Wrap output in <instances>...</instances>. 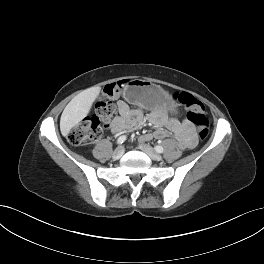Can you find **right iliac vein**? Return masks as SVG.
Listing matches in <instances>:
<instances>
[{"instance_id":"right-iliac-vein-1","label":"right iliac vein","mask_w":264,"mask_h":264,"mask_svg":"<svg viewBox=\"0 0 264 264\" xmlns=\"http://www.w3.org/2000/svg\"><path fill=\"white\" fill-rule=\"evenodd\" d=\"M123 154H124V147L119 146L114 150L112 157L113 159L117 160V159H120Z\"/></svg>"}]
</instances>
